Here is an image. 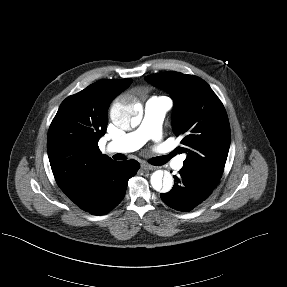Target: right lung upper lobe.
<instances>
[{
	"label": "right lung upper lobe",
	"mask_w": 287,
	"mask_h": 287,
	"mask_svg": "<svg viewBox=\"0 0 287 287\" xmlns=\"http://www.w3.org/2000/svg\"><path fill=\"white\" fill-rule=\"evenodd\" d=\"M131 83L100 80L61 103L48 131L47 152L55 180L71 200L98 169L114 161L97 144L107 128L110 103Z\"/></svg>",
	"instance_id": "obj_1"
}]
</instances>
